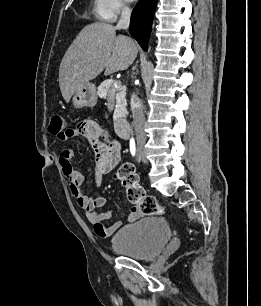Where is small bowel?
<instances>
[{
	"mask_svg": "<svg viewBox=\"0 0 261 306\" xmlns=\"http://www.w3.org/2000/svg\"><path fill=\"white\" fill-rule=\"evenodd\" d=\"M83 137L93 148L95 164L93 169L94 180H99L103 175L109 173L118 164L121 157V146L116 141H108L107 135L102 127L93 120L81 122L76 129H68V136ZM74 152L71 149L64 150L59 155V164L62 173L69 182V187L77 204L85 211L86 218L93 225L94 232L100 238L113 235L122 225L116 222L111 226L104 224L112 217L110 210H104L107 205L106 198L102 196L92 197L86 194L85 177L73 165ZM140 212L134 207L129 214V221H135Z\"/></svg>",
	"mask_w": 261,
	"mask_h": 306,
	"instance_id": "small-bowel-1",
	"label": "small bowel"
}]
</instances>
